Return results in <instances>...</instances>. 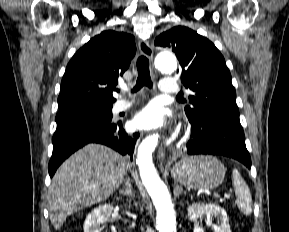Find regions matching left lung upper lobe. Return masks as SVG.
<instances>
[{
	"instance_id": "obj_1",
	"label": "left lung upper lobe",
	"mask_w": 289,
	"mask_h": 232,
	"mask_svg": "<svg viewBox=\"0 0 289 232\" xmlns=\"http://www.w3.org/2000/svg\"><path fill=\"white\" fill-rule=\"evenodd\" d=\"M155 45L171 48L182 67V84L194 92L185 113L191 124L217 118L238 122L239 110L231 74L215 45L195 31L176 26L162 33Z\"/></svg>"
}]
</instances>
